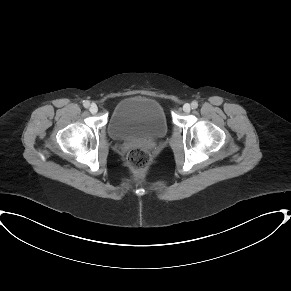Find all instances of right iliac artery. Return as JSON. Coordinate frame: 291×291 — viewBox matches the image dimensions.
<instances>
[{
	"label": "right iliac artery",
	"mask_w": 291,
	"mask_h": 291,
	"mask_svg": "<svg viewBox=\"0 0 291 291\" xmlns=\"http://www.w3.org/2000/svg\"><path fill=\"white\" fill-rule=\"evenodd\" d=\"M83 106L85 107V108H88L89 106H90V102L89 101H84L83 102Z\"/></svg>",
	"instance_id": "1"
}]
</instances>
